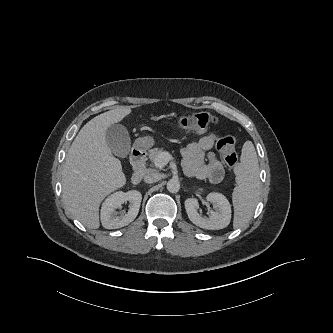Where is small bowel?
Masks as SVG:
<instances>
[{"mask_svg": "<svg viewBox=\"0 0 333 333\" xmlns=\"http://www.w3.org/2000/svg\"><path fill=\"white\" fill-rule=\"evenodd\" d=\"M216 140L215 133H208L182 148L183 168L187 174L211 183L222 180L223 166L211 151Z\"/></svg>", "mask_w": 333, "mask_h": 333, "instance_id": "small-bowel-1", "label": "small bowel"}]
</instances>
